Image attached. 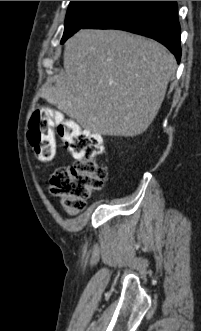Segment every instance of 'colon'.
Instances as JSON below:
<instances>
[{
	"label": "colon",
	"mask_w": 201,
	"mask_h": 331,
	"mask_svg": "<svg viewBox=\"0 0 201 331\" xmlns=\"http://www.w3.org/2000/svg\"><path fill=\"white\" fill-rule=\"evenodd\" d=\"M54 129L75 161L54 172L50 189L69 214H78L85 209L91 195L102 189L107 177L106 167L98 161L103 152L102 139L60 112L38 109L30 120L28 138L42 162H49L55 156Z\"/></svg>",
	"instance_id": "5ec220e1"
}]
</instances>
